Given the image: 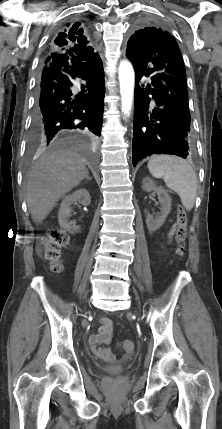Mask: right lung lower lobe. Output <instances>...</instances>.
<instances>
[{
	"mask_svg": "<svg viewBox=\"0 0 222 429\" xmlns=\"http://www.w3.org/2000/svg\"><path fill=\"white\" fill-rule=\"evenodd\" d=\"M75 78L85 81L76 95L70 89V80ZM104 94L99 55L80 61L69 53H52L43 61L38 78L31 137L43 144H53L74 131L100 136Z\"/></svg>",
	"mask_w": 222,
	"mask_h": 429,
	"instance_id": "98d812e1",
	"label": "right lung lower lobe"
}]
</instances>
